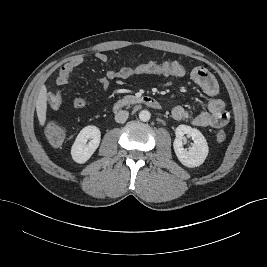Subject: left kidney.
I'll return each mask as SVG.
<instances>
[{"label": "left kidney", "mask_w": 267, "mask_h": 267, "mask_svg": "<svg viewBox=\"0 0 267 267\" xmlns=\"http://www.w3.org/2000/svg\"><path fill=\"white\" fill-rule=\"evenodd\" d=\"M175 135L173 148L179 161L189 168L198 167L203 164L209 151L203 134L196 128L188 125H179L175 130ZM184 135L190 136L193 140V144L188 150L183 147Z\"/></svg>", "instance_id": "5707ae66"}]
</instances>
